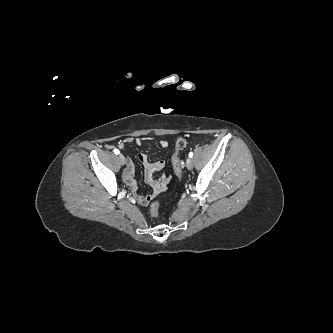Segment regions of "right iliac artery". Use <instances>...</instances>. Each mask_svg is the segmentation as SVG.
Segmentation results:
<instances>
[{"label":"right iliac artery","instance_id":"82829eb1","mask_svg":"<svg viewBox=\"0 0 333 333\" xmlns=\"http://www.w3.org/2000/svg\"><path fill=\"white\" fill-rule=\"evenodd\" d=\"M115 154H119L120 153V151L118 150V149H114V151H113Z\"/></svg>","mask_w":333,"mask_h":333}]
</instances>
